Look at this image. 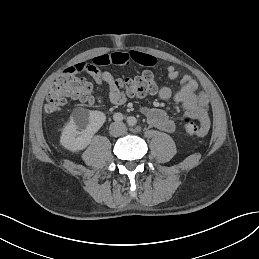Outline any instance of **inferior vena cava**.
<instances>
[{
  "mask_svg": "<svg viewBox=\"0 0 259 259\" xmlns=\"http://www.w3.org/2000/svg\"><path fill=\"white\" fill-rule=\"evenodd\" d=\"M110 133L113 136H121L124 134L126 127L123 123L114 122L110 125Z\"/></svg>",
  "mask_w": 259,
  "mask_h": 259,
  "instance_id": "1",
  "label": "inferior vena cava"
}]
</instances>
